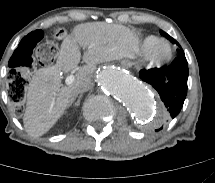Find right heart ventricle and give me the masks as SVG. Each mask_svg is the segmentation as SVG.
Listing matches in <instances>:
<instances>
[{"instance_id":"e07e8e85","label":"right heart ventricle","mask_w":215,"mask_h":183,"mask_svg":"<svg viewBox=\"0 0 215 183\" xmlns=\"http://www.w3.org/2000/svg\"><path fill=\"white\" fill-rule=\"evenodd\" d=\"M160 41H161V38L154 35H149L145 37L141 43L142 53L146 55Z\"/></svg>"}]
</instances>
